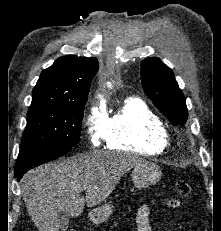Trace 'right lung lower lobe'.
<instances>
[{"label": "right lung lower lobe", "mask_w": 221, "mask_h": 231, "mask_svg": "<svg viewBox=\"0 0 221 231\" xmlns=\"http://www.w3.org/2000/svg\"><path fill=\"white\" fill-rule=\"evenodd\" d=\"M70 150H64V151H59V152H48L44 153L38 156H35L31 158L30 160L24 162L21 165H16L15 166V177L17 178V181H19L23 174H25L28 170L37 167L43 163L55 160L59 158L60 156H63Z\"/></svg>", "instance_id": "1"}]
</instances>
